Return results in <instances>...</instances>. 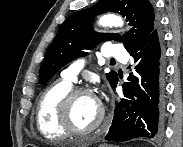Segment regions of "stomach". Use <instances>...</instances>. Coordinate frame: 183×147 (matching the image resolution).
Listing matches in <instances>:
<instances>
[{"label":"stomach","instance_id":"obj_1","mask_svg":"<svg viewBox=\"0 0 183 147\" xmlns=\"http://www.w3.org/2000/svg\"><path fill=\"white\" fill-rule=\"evenodd\" d=\"M99 147H112V146L106 145V144H102V145H100Z\"/></svg>","mask_w":183,"mask_h":147}]
</instances>
